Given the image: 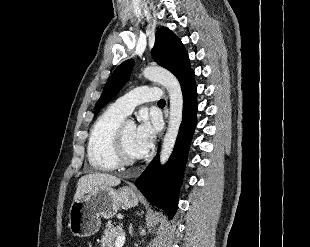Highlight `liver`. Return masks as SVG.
<instances>
[{"instance_id": "liver-1", "label": "liver", "mask_w": 310, "mask_h": 247, "mask_svg": "<svg viewBox=\"0 0 310 247\" xmlns=\"http://www.w3.org/2000/svg\"><path fill=\"white\" fill-rule=\"evenodd\" d=\"M120 182V178L106 173H91L84 175L78 181L74 200L82 198L98 187L117 186Z\"/></svg>"}]
</instances>
